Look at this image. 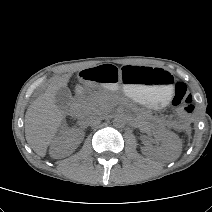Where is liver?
I'll return each instance as SVG.
<instances>
[{"instance_id": "liver-1", "label": "liver", "mask_w": 212, "mask_h": 212, "mask_svg": "<svg viewBox=\"0 0 212 212\" xmlns=\"http://www.w3.org/2000/svg\"><path fill=\"white\" fill-rule=\"evenodd\" d=\"M71 74L55 78L45 93L28 107L25 115V136L30 147L41 157L46 155L47 147L57 133L63 112L55 103L56 92L67 85Z\"/></svg>"}]
</instances>
